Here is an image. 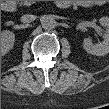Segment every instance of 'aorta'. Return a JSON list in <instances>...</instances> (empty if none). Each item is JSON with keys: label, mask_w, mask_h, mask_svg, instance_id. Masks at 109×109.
<instances>
[{"label": "aorta", "mask_w": 109, "mask_h": 109, "mask_svg": "<svg viewBox=\"0 0 109 109\" xmlns=\"http://www.w3.org/2000/svg\"><path fill=\"white\" fill-rule=\"evenodd\" d=\"M41 25L45 30H52L56 26V21L51 16H46L43 18Z\"/></svg>", "instance_id": "obj_1"}]
</instances>
